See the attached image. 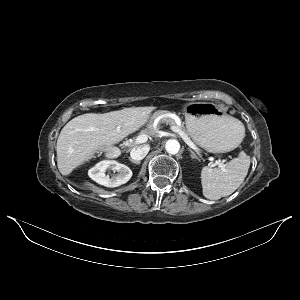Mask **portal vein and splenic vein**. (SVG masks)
Segmentation results:
<instances>
[{
	"label": "portal vein and splenic vein",
	"mask_w": 300,
	"mask_h": 300,
	"mask_svg": "<svg viewBox=\"0 0 300 300\" xmlns=\"http://www.w3.org/2000/svg\"><path fill=\"white\" fill-rule=\"evenodd\" d=\"M171 130L176 132L180 135V137L185 141V143L192 148L195 151H199L197 146L191 141V139L188 137L186 133H184L181 129H179L177 126H171ZM148 136L146 134H141L135 139L136 144H142L147 142ZM220 166L223 167V163H220Z\"/></svg>",
	"instance_id": "18ae733b"
}]
</instances>
